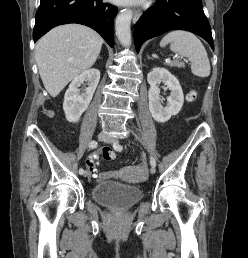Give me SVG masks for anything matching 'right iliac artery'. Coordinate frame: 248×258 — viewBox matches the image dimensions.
Instances as JSON below:
<instances>
[{
	"label": "right iliac artery",
	"instance_id": "obj_1",
	"mask_svg": "<svg viewBox=\"0 0 248 258\" xmlns=\"http://www.w3.org/2000/svg\"><path fill=\"white\" fill-rule=\"evenodd\" d=\"M97 146H98V143L96 141H94V140L89 143V147L92 148V149L96 148ZM79 173L83 174L84 173V169L80 168L79 169Z\"/></svg>",
	"mask_w": 248,
	"mask_h": 258
}]
</instances>
